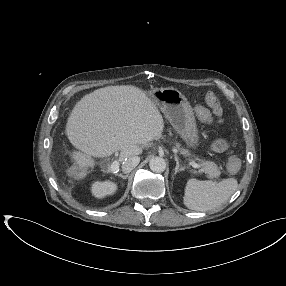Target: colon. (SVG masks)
Returning a JSON list of instances; mask_svg holds the SVG:
<instances>
[{"instance_id": "obj_1", "label": "colon", "mask_w": 286, "mask_h": 286, "mask_svg": "<svg viewBox=\"0 0 286 286\" xmlns=\"http://www.w3.org/2000/svg\"><path fill=\"white\" fill-rule=\"evenodd\" d=\"M206 103L209 107V110L203 107L204 109L199 111V117L203 122L210 123L212 120L211 112L212 113L220 112L221 107L216 97L212 93H209L206 96ZM227 167L230 172H236L240 168V162L237 158L231 157L228 160Z\"/></svg>"}]
</instances>
